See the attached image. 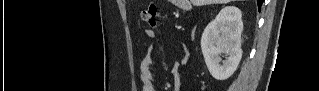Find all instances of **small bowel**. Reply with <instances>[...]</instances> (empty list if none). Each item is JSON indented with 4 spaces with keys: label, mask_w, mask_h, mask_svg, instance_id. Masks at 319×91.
Wrapping results in <instances>:
<instances>
[{
    "label": "small bowel",
    "mask_w": 319,
    "mask_h": 91,
    "mask_svg": "<svg viewBox=\"0 0 319 91\" xmlns=\"http://www.w3.org/2000/svg\"><path fill=\"white\" fill-rule=\"evenodd\" d=\"M145 37L147 40H149L150 44L148 47L147 54L144 56L140 63V68H139V80L138 83L142 88V91H156L154 84H153V79H152V73H151V65L153 62V53L155 50L154 45L152 44V41L156 37L155 31L148 29L145 31ZM188 60V53L186 50L183 51V58L181 61L175 62L172 66L171 73L174 77L175 81V90L179 91L181 90V81H180V76H179V71L181 66L187 63Z\"/></svg>",
    "instance_id": "c3829d8e"
}]
</instances>
